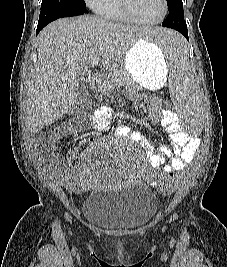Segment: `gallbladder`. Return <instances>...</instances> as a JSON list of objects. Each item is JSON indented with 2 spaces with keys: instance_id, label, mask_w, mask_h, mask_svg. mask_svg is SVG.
<instances>
[{
  "instance_id": "bac80fb5",
  "label": "gallbladder",
  "mask_w": 227,
  "mask_h": 267,
  "mask_svg": "<svg viewBox=\"0 0 227 267\" xmlns=\"http://www.w3.org/2000/svg\"><path fill=\"white\" fill-rule=\"evenodd\" d=\"M86 86V82L83 80H79V90L82 91Z\"/></svg>"
}]
</instances>
